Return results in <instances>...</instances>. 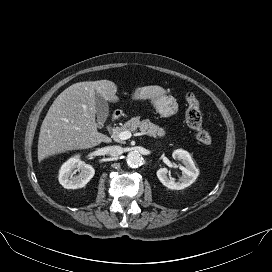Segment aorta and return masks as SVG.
<instances>
[{
	"label": "aorta",
	"mask_w": 272,
	"mask_h": 272,
	"mask_svg": "<svg viewBox=\"0 0 272 272\" xmlns=\"http://www.w3.org/2000/svg\"><path fill=\"white\" fill-rule=\"evenodd\" d=\"M127 163L131 167H138L142 163V157L138 152L131 151L126 157Z\"/></svg>",
	"instance_id": "aorta-1"
}]
</instances>
